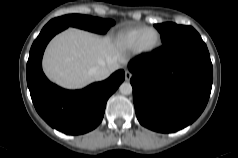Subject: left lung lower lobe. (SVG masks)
Listing matches in <instances>:
<instances>
[{"label": "left lung lower lobe", "mask_w": 238, "mask_h": 158, "mask_svg": "<svg viewBox=\"0 0 238 158\" xmlns=\"http://www.w3.org/2000/svg\"><path fill=\"white\" fill-rule=\"evenodd\" d=\"M139 122L170 133L193 123L207 105L213 67L206 44L194 31L129 62Z\"/></svg>", "instance_id": "left-lung-lower-lobe-1"}]
</instances>
